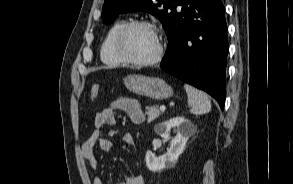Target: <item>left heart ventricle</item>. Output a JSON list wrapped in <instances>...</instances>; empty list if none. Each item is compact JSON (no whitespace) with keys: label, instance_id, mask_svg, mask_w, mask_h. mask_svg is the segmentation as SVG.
I'll return each mask as SVG.
<instances>
[{"label":"left heart ventricle","instance_id":"left-heart-ventricle-1","mask_svg":"<svg viewBox=\"0 0 293 184\" xmlns=\"http://www.w3.org/2000/svg\"><path fill=\"white\" fill-rule=\"evenodd\" d=\"M122 51L135 60H146L157 51V40L154 33L145 27H134L123 37Z\"/></svg>","mask_w":293,"mask_h":184}]
</instances>
